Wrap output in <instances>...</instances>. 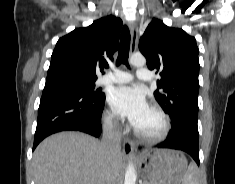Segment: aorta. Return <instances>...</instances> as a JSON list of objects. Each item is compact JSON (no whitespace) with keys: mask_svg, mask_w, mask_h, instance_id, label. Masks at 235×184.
Listing matches in <instances>:
<instances>
[{"mask_svg":"<svg viewBox=\"0 0 235 184\" xmlns=\"http://www.w3.org/2000/svg\"><path fill=\"white\" fill-rule=\"evenodd\" d=\"M130 64H132V66H136V68H143L146 64V60L144 56H140V54H133L130 58ZM136 178V170L133 164H129L126 170L124 184H135Z\"/></svg>","mask_w":235,"mask_h":184,"instance_id":"obj_1","label":"aorta"}]
</instances>
